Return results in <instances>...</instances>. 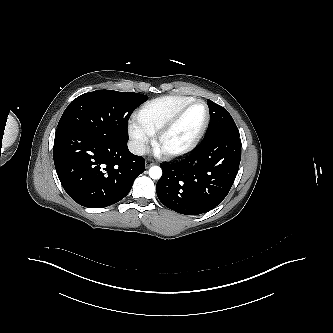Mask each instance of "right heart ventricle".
I'll return each instance as SVG.
<instances>
[{
	"label": "right heart ventricle",
	"mask_w": 333,
	"mask_h": 333,
	"mask_svg": "<svg viewBox=\"0 0 333 333\" xmlns=\"http://www.w3.org/2000/svg\"><path fill=\"white\" fill-rule=\"evenodd\" d=\"M194 98L183 95H167L144 103L136 113V120L154 135L183 105Z\"/></svg>",
	"instance_id": "1"
}]
</instances>
